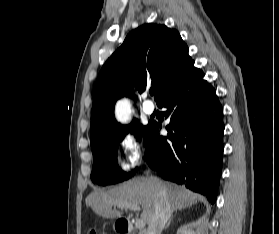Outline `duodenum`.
<instances>
[{
	"instance_id": "410a0bca",
	"label": "duodenum",
	"mask_w": 279,
	"mask_h": 234,
	"mask_svg": "<svg viewBox=\"0 0 279 234\" xmlns=\"http://www.w3.org/2000/svg\"><path fill=\"white\" fill-rule=\"evenodd\" d=\"M132 229L133 227L130 221L126 219H121L118 221L117 232L119 234H131Z\"/></svg>"
}]
</instances>
